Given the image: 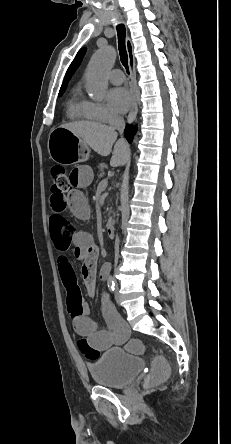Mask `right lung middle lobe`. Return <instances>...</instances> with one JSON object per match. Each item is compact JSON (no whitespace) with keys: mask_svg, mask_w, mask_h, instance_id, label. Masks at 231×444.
<instances>
[{"mask_svg":"<svg viewBox=\"0 0 231 444\" xmlns=\"http://www.w3.org/2000/svg\"><path fill=\"white\" fill-rule=\"evenodd\" d=\"M65 89H66V88H62V89H60V91H59V96H61V95L64 93Z\"/></svg>","mask_w":231,"mask_h":444,"instance_id":"dd1d6c3e","label":"right lung middle lobe"}]
</instances>
